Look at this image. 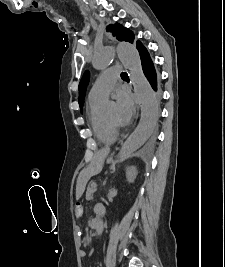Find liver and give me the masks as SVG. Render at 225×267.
<instances>
[{
    "label": "liver",
    "mask_w": 225,
    "mask_h": 267,
    "mask_svg": "<svg viewBox=\"0 0 225 267\" xmlns=\"http://www.w3.org/2000/svg\"><path fill=\"white\" fill-rule=\"evenodd\" d=\"M107 154V150H102L94 155L93 161L88 169L90 175L98 174L102 170L103 163ZM82 193L83 189L79 193H77V198H79Z\"/></svg>",
    "instance_id": "liver-1"
}]
</instances>
